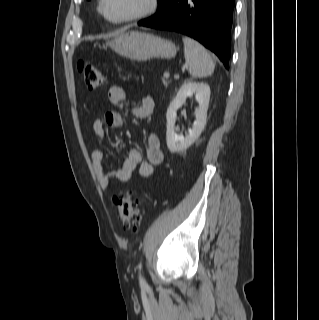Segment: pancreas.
I'll use <instances>...</instances> for the list:
<instances>
[{"instance_id":"cf45deb5","label":"pancreas","mask_w":319,"mask_h":320,"mask_svg":"<svg viewBox=\"0 0 319 320\" xmlns=\"http://www.w3.org/2000/svg\"><path fill=\"white\" fill-rule=\"evenodd\" d=\"M162 82H163L164 85H168V83H169L168 78H165V77L163 76Z\"/></svg>"}]
</instances>
